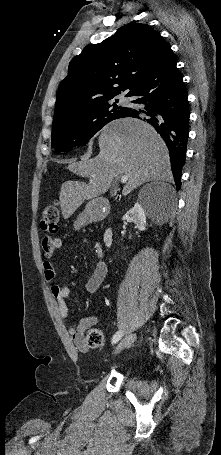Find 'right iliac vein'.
Segmentation results:
<instances>
[{
    "instance_id": "63e3f726",
    "label": "right iliac vein",
    "mask_w": 221,
    "mask_h": 455,
    "mask_svg": "<svg viewBox=\"0 0 221 455\" xmlns=\"http://www.w3.org/2000/svg\"><path fill=\"white\" fill-rule=\"evenodd\" d=\"M135 340H136V335L135 334H131V335L126 336L118 344V346L116 347V349L114 351V355L120 353L123 349L127 348L128 346H130Z\"/></svg>"
}]
</instances>
